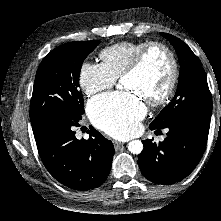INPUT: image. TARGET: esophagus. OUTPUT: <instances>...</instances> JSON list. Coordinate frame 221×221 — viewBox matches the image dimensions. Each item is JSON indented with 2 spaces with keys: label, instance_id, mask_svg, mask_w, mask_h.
<instances>
[{
  "label": "esophagus",
  "instance_id": "1",
  "mask_svg": "<svg viewBox=\"0 0 221 221\" xmlns=\"http://www.w3.org/2000/svg\"><path fill=\"white\" fill-rule=\"evenodd\" d=\"M112 143H113L116 150L119 149L124 144V143L116 141V140H113Z\"/></svg>",
  "mask_w": 221,
  "mask_h": 221
}]
</instances>
